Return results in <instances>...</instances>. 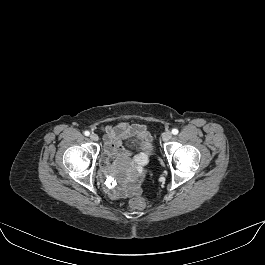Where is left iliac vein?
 Listing matches in <instances>:
<instances>
[{"mask_svg": "<svg viewBox=\"0 0 265 265\" xmlns=\"http://www.w3.org/2000/svg\"><path fill=\"white\" fill-rule=\"evenodd\" d=\"M172 138V133L170 131H166L162 135L163 141H169Z\"/></svg>", "mask_w": 265, "mask_h": 265, "instance_id": "4c4485c4", "label": "left iliac vein"}]
</instances>
